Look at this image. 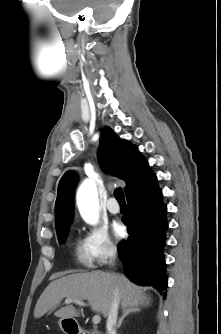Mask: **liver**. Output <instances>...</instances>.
<instances>
[{
    "mask_svg": "<svg viewBox=\"0 0 221 334\" xmlns=\"http://www.w3.org/2000/svg\"><path fill=\"white\" fill-rule=\"evenodd\" d=\"M115 292L124 309L150 303V297L143 293L141 287L122 274L102 271L74 273L54 280L47 286L36 303L34 317H42L64 298L86 300L94 312L107 317ZM54 315L70 319L79 316V312L68 305Z\"/></svg>",
    "mask_w": 221,
    "mask_h": 334,
    "instance_id": "1",
    "label": "liver"
}]
</instances>
